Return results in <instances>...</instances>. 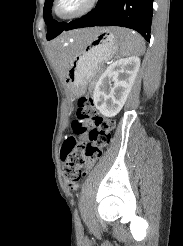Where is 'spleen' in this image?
Instances as JSON below:
<instances>
[{"instance_id":"3e777b00","label":"spleen","mask_w":183,"mask_h":246,"mask_svg":"<svg viewBox=\"0 0 183 246\" xmlns=\"http://www.w3.org/2000/svg\"><path fill=\"white\" fill-rule=\"evenodd\" d=\"M116 35L121 44L120 53L122 55H142L145 52L144 39L138 33L130 29L119 28ZM94 56L95 53L84 56L80 61V67L89 63Z\"/></svg>"}]
</instances>
